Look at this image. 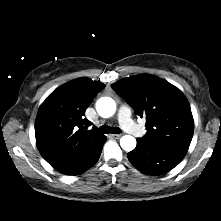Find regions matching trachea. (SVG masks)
<instances>
[{"instance_id":"trachea-1","label":"trachea","mask_w":221,"mask_h":221,"mask_svg":"<svg viewBox=\"0 0 221 221\" xmlns=\"http://www.w3.org/2000/svg\"><path fill=\"white\" fill-rule=\"evenodd\" d=\"M99 132L104 133V134H108V133L119 134L121 132V129L118 127H109L107 125H103L100 127Z\"/></svg>"}]
</instances>
